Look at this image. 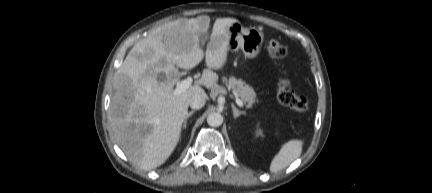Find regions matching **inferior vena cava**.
I'll return each mask as SVG.
<instances>
[{
  "instance_id": "602c4592",
  "label": "inferior vena cava",
  "mask_w": 432,
  "mask_h": 193,
  "mask_svg": "<svg viewBox=\"0 0 432 193\" xmlns=\"http://www.w3.org/2000/svg\"><path fill=\"white\" fill-rule=\"evenodd\" d=\"M206 102V95L205 94H195L192 96L190 101V107L192 109H201Z\"/></svg>"
}]
</instances>
